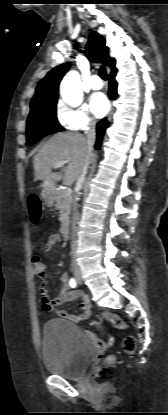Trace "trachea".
I'll list each match as a JSON object with an SVG mask.
<instances>
[{
    "label": "trachea",
    "mask_w": 168,
    "mask_h": 415,
    "mask_svg": "<svg viewBox=\"0 0 168 415\" xmlns=\"http://www.w3.org/2000/svg\"><path fill=\"white\" fill-rule=\"evenodd\" d=\"M99 76L103 79V80H107V73H106V69L104 66H101L99 69Z\"/></svg>",
    "instance_id": "trachea-1"
}]
</instances>
